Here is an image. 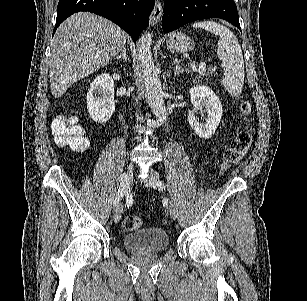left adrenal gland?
Instances as JSON below:
<instances>
[{
  "label": "left adrenal gland",
  "mask_w": 307,
  "mask_h": 301,
  "mask_svg": "<svg viewBox=\"0 0 307 301\" xmlns=\"http://www.w3.org/2000/svg\"><path fill=\"white\" fill-rule=\"evenodd\" d=\"M174 72H175V76H177V74H182V72H189L188 68H183V66H181L178 58H175L174 60Z\"/></svg>",
  "instance_id": "1"
}]
</instances>
